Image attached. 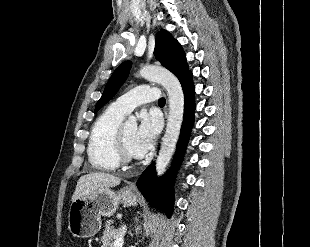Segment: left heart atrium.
I'll return each instance as SVG.
<instances>
[{
  "label": "left heart atrium",
  "mask_w": 310,
  "mask_h": 247,
  "mask_svg": "<svg viewBox=\"0 0 310 247\" xmlns=\"http://www.w3.org/2000/svg\"><path fill=\"white\" fill-rule=\"evenodd\" d=\"M159 130L160 124L157 116L143 113L134 136L133 155L136 157L145 156L152 149Z\"/></svg>",
  "instance_id": "1"
}]
</instances>
